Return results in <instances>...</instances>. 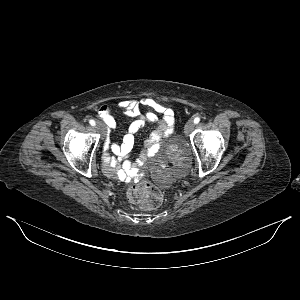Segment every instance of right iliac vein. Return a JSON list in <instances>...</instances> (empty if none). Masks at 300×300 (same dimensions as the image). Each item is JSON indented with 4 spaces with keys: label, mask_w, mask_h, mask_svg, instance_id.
<instances>
[{
    "label": "right iliac vein",
    "mask_w": 300,
    "mask_h": 300,
    "mask_svg": "<svg viewBox=\"0 0 300 300\" xmlns=\"http://www.w3.org/2000/svg\"><path fill=\"white\" fill-rule=\"evenodd\" d=\"M96 129L102 135V137L105 136V128L101 121H97Z\"/></svg>",
    "instance_id": "63e3f726"
}]
</instances>
